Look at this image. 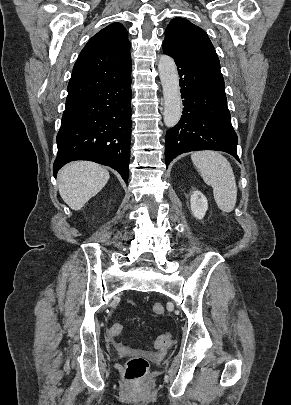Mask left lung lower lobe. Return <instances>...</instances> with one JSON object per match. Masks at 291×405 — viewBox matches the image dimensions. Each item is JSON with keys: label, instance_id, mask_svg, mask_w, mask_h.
<instances>
[{"label": "left lung lower lobe", "instance_id": "left-lung-lower-lobe-1", "mask_svg": "<svg viewBox=\"0 0 291 405\" xmlns=\"http://www.w3.org/2000/svg\"><path fill=\"white\" fill-rule=\"evenodd\" d=\"M163 52L176 62L184 98L180 121L166 133V167L178 155L198 150L224 151L239 161L220 63L182 54L164 44Z\"/></svg>", "mask_w": 291, "mask_h": 405}]
</instances>
